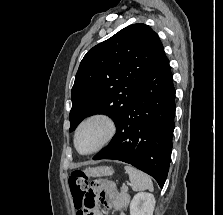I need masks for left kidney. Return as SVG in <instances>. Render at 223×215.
<instances>
[{"instance_id":"5707ae66","label":"left kidney","mask_w":223,"mask_h":215,"mask_svg":"<svg viewBox=\"0 0 223 215\" xmlns=\"http://www.w3.org/2000/svg\"><path fill=\"white\" fill-rule=\"evenodd\" d=\"M155 203L153 193L139 191L130 203V215H153Z\"/></svg>"}]
</instances>
